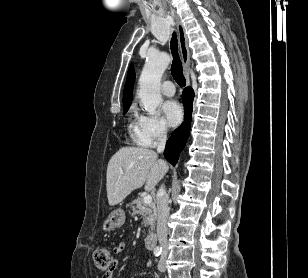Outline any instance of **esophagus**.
Wrapping results in <instances>:
<instances>
[{
    "label": "esophagus",
    "mask_w": 308,
    "mask_h": 278,
    "mask_svg": "<svg viewBox=\"0 0 308 278\" xmlns=\"http://www.w3.org/2000/svg\"><path fill=\"white\" fill-rule=\"evenodd\" d=\"M176 26L178 31V40H179V48L180 54L182 58L183 70L184 75L186 78L187 85H190V75H189V64H190V52L188 48V41L185 34L184 26L181 20L176 17Z\"/></svg>",
    "instance_id": "esophagus-1"
}]
</instances>
